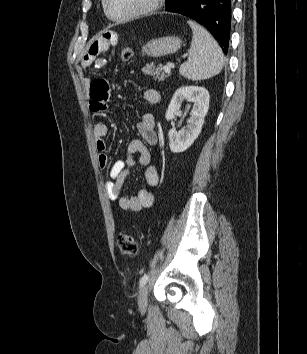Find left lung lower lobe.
I'll return each instance as SVG.
<instances>
[{
	"mask_svg": "<svg viewBox=\"0 0 307 354\" xmlns=\"http://www.w3.org/2000/svg\"><path fill=\"white\" fill-rule=\"evenodd\" d=\"M166 11L180 13L206 27L227 54L231 30V0H171Z\"/></svg>",
	"mask_w": 307,
	"mask_h": 354,
	"instance_id": "obj_1",
	"label": "left lung lower lobe"
}]
</instances>
